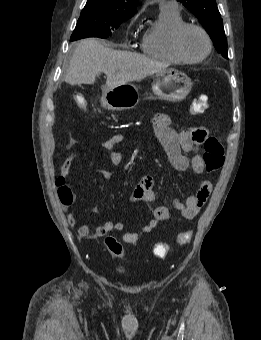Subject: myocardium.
<instances>
[{
    "mask_svg": "<svg viewBox=\"0 0 261 340\" xmlns=\"http://www.w3.org/2000/svg\"><path fill=\"white\" fill-rule=\"evenodd\" d=\"M189 28H195L197 30H199L205 37L206 39V42H207V51L206 53L198 58V59H191L189 57H187L184 52L182 51L181 49V38H182V35L184 34V32L189 29ZM172 47H173V50L175 51V53L186 63H191V64H196V63H201L203 62L204 60H206L211 52H212V48H213V44H212V40H211V37L209 35V33L207 32V30L197 24V23H192V22H184L182 23L180 26H178L176 28V30L174 31L173 33V36H172Z\"/></svg>",
    "mask_w": 261,
    "mask_h": 340,
    "instance_id": "1",
    "label": "myocardium"
}]
</instances>
